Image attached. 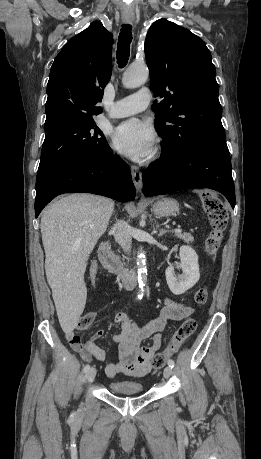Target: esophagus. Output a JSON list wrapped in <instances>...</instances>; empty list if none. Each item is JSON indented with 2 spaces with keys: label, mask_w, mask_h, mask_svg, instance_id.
I'll return each instance as SVG.
<instances>
[{
  "label": "esophagus",
  "mask_w": 261,
  "mask_h": 459,
  "mask_svg": "<svg viewBox=\"0 0 261 459\" xmlns=\"http://www.w3.org/2000/svg\"><path fill=\"white\" fill-rule=\"evenodd\" d=\"M125 21H126V23H132L133 20L130 19V18H126ZM131 171H132V178H133L134 186H135L137 192H141L142 188H143V181H142L141 171L136 166H132L131 167Z\"/></svg>",
  "instance_id": "obj_1"
}]
</instances>
